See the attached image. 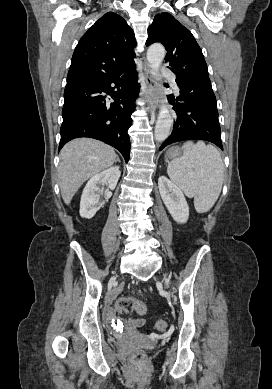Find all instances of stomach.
Wrapping results in <instances>:
<instances>
[{
	"instance_id": "obj_1",
	"label": "stomach",
	"mask_w": 272,
	"mask_h": 389,
	"mask_svg": "<svg viewBox=\"0 0 272 389\" xmlns=\"http://www.w3.org/2000/svg\"><path fill=\"white\" fill-rule=\"evenodd\" d=\"M180 155L181 150L178 147H171L166 153V156L170 159L179 157Z\"/></svg>"
}]
</instances>
